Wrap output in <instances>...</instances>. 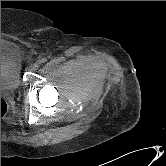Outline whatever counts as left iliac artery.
<instances>
[{"label": "left iliac artery", "mask_w": 166, "mask_h": 166, "mask_svg": "<svg viewBox=\"0 0 166 166\" xmlns=\"http://www.w3.org/2000/svg\"><path fill=\"white\" fill-rule=\"evenodd\" d=\"M40 62H41V63H45V62H46V59H45V58H42V59L40 60Z\"/></svg>", "instance_id": "obj_1"}]
</instances>
